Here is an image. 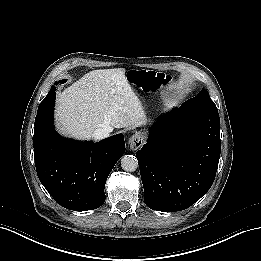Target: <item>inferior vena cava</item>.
<instances>
[{"label":"inferior vena cava","mask_w":261,"mask_h":261,"mask_svg":"<svg viewBox=\"0 0 261 261\" xmlns=\"http://www.w3.org/2000/svg\"><path fill=\"white\" fill-rule=\"evenodd\" d=\"M113 131V128L111 126H105L103 128H98L96 129L93 134H92V138L95 141H99L102 140L104 138L109 137L110 132Z\"/></svg>","instance_id":"602c4592"}]
</instances>
